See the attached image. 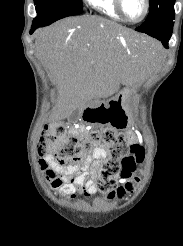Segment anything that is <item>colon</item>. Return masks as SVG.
I'll return each mask as SVG.
<instances>
[{"label": "colon", "instance_id": "obj_1", "mask_svg": "<svg viewBox=\"0 0 183 246\" xmlns=\"http://www.w3.org/2000/svg\"><path fill=\"white\" fill-rule=\"evenodd\" d=\"M87 118L91 122L111 123L112 126L93 131L83 142L68 133L62 123L45 127L38 142L39 165L46 171L49 165L45 157L54 155L62 165L82 169L90 161L86 151L94 145L104 144L108 148V157L100 167L96 188L106 199H122L140 180L135 171L136 165L144 159V148L137 143L129 145L125 135L116 131L115 127L125 122L120 113H109L107 107L100 106L90 109Z\"/></svg>", "mask_w": 183, "mask_h": 246}]
</instances>
